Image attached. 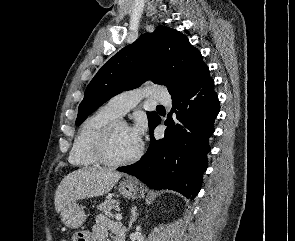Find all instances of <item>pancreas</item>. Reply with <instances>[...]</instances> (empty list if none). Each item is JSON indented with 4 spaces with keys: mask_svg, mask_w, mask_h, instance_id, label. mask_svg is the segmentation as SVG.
<instances>
[{
    "mask_svg": "<svg viewBox=\"0 0 295 241\" xmlns=\"http://www.w3.org/2000/svg\"><path fill=\"white\" fill-rule=\"evenodd\" d=\"M101 212H103L106 216L113 218L114 215L112 213L113 209H118L117 202L115 200L102 202L97 207Z\"/></svg>",
    "mask_w": 295,
    "mask_h": 241,
    "instance_id": "cf45deb5",
    "label": "pancreas"
}]
</instances>
